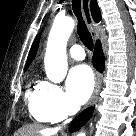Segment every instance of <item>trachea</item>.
I'll use <instances>...</instances> for the list:
<instances>
[{
    "instance_id": "3493384b",
    "label": "trachea",
    "mask_w": 136,
    "mask_h": 136,
    "mask_svg": "<svg viewBox=\"0 0 136 136\" xmlns=\"http://www.w3.org/2000/svg\"><path fill=\"white\" fill-rule=\"evenodd\" d=\"M72 8L74 14L77 17L78 24H77V33L83 42V44L89 49L93 50V40L91 37L90 32L87 29V26L82 18L81 13V0H72Z\"/></svg>"
}]
</instances>
